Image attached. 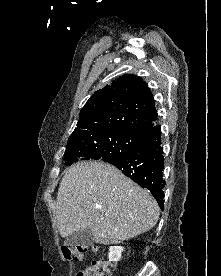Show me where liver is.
Returning a JSON list of instances; mask_svg holds the SVG:
<instances>
[{"instance_id": "1", "label": "liver", "mask_w": 221, "mask_h": 276, "mask_svg": "<svg viewBox=\"0 0 221 276\" xmlns=\"http://www.w3.org/2000/svg\"><path fill=\"white\" fill-rule=\"evenodd\" d=\"M56 218L62 237L90 229L96 243L118 244L152 229L159 207L147 190L114 166L89 161L66 169Z\"/></svg>"}]
</instances>
